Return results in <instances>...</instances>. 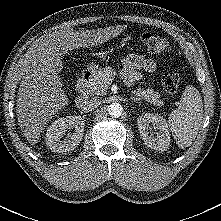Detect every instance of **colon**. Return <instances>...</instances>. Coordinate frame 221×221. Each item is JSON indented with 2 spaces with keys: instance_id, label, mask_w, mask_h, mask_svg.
<instances>
[{
  "instance_id": "5ec220e1",
  "label": "colon",
  "mask_w": 221,
  "mask_h": 221,
  "mask_svg": "<svg viewBox=\"0 0 221 221\" xmlns=\"http://www.w3.org/2000/svg\"><path fill=\"white\" fill-rule=\"evenodd\" d=\"M141 42L144 48L151 54L166 55L170 52V46L166 39L158 35L146 33L142 35ZM179 76L176 73H167L162 78V85L166 92L174 93L179 86Z\"/></svg>"
}]
</instances>
